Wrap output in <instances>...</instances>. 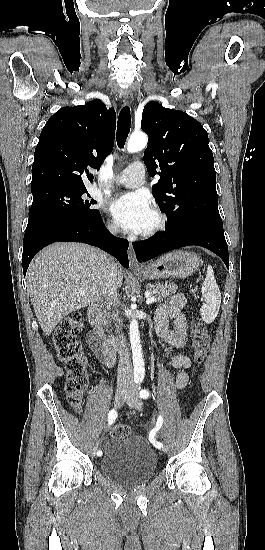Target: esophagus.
Instances as JSON below:
<instances>
[{"instance_id": "esophagus-1", "label": "esophagus", "mask_w": 265, "mask_h": 550, "mask_svg": "<svg viewBox=\"0 0 265 550\" xmlns=\"http://www.w3.org/2000/svg\"><path fill=\"white\" fill-rule=\"evenodd\" d=\"M123 101L127 105L131 104V102L133 101V93L131 91H125L123 95ZM128 256H129L130 267L133 269L139 268L140 265L136 259V255L131 243L128 249Z\"/></svg>"}]
</instances>
